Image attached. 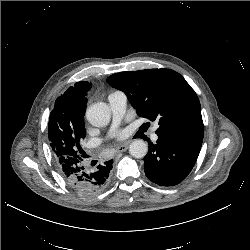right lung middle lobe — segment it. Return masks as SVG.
<instances>
[{"label":"right lung middle lobe","mask_w":250,"mask_h":250,"mask_svg":"<svg viewBox=\"0 0 250 250\" xmlns=\"http://www.w3.org/2000/svg\"><path fill=\"white\" fill-rule=\"evenodd\" d=\"M48 138L55 160H58L61 157L68 159L82 158V148L80 143L85 138L84 124L71 132L62 131L61 129H57L55 125L51 126L49 124Z\"/></svg>","instance_id":"dd1d6c3e"}]
</instances>
